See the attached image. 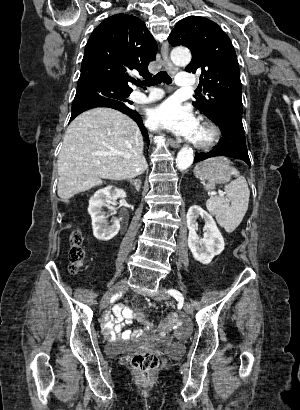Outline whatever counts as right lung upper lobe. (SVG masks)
<instances>
[{
    "mask_svg": "<svg viewBox=\"0 0 300 410\" xmlns=\"http://www.w3.org/2000/svg\"><path fill=\"white\" fill-rule=\"evenodd\" d=\"M157 43L139 18L116 14L104 20L91 34L78 82H99L132 91L130 72L151 76L148 65L155 60Z\"/></svg>",
    "mask_w": 300,
    "mask_h": 410,
    "instance_id": "right-lung-upper-lobe-1",
    "label": "right lung upper lobe"
}]
</instances>
